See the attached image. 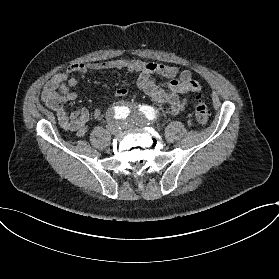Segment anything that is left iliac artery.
I'll list each match as a JSON object with an SVG mask.
<instances>
[{
    "label": "left iliac artery",
    "mask_w": 279,
    "mask_h": 279,
    "mask_svg": "<svg viewBox=\"0 0 279 279\" xmlns=\"http://www.w3.org/2000/svg\"><path fill=\"white\" fill-rule=\"evenodd\" d=\"M146 117L149 119V120H155L156 119V112L153 108L151 107H147L146 109Z\"/></svg>",
    "instance_id": "left-iliac-artery-1"
}]
</instances>
